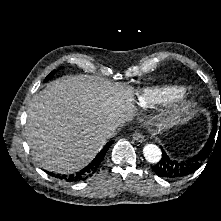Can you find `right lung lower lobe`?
Segmentation results:
<instances>
[{
	"label": "right lung lower lobe",
	"mask_w": 221,
	"mask_h": 221,
	"mask_svg": "<svg viewBox=\"0 0 221 221\" xmlns=\"http://www.w3.org/2000/svg\"><path fill=\"white\" fill-rule=\"evenodd\" d=\"M114 141H110L108 142L104 148L98 153V155L93 159V161L87 165L85 168H83L80 172H77L75 174H71V175H55L53 173H49L47 171L48 174H50L51 176H55L61 180H65L67 182H78V181H82L87 179L89 176H92L97 168L99 167V165L101 164V162L103 161L106 152L108 151V149L110 148V146L113 144Z\"/></svg>",
	"instance_id": "right-lung-lower-lobe-1"
}]
</instances>
